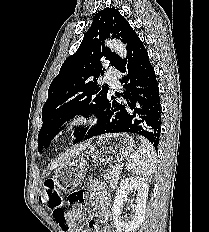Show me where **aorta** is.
Masks as SVG:
<instances>
[{
  "label": "aorta",
  "instance_id": "aorta-1",
  "mask_svg": "<svg viewBox=\"0 0 209 232\" xmlns=\"http://www.w3.org/2000/svg\"><path fill=\"white\" fill-rule=\"evenodd\" d=\"M105 45L109 47L113 52L117 53L121 58H126V46L117 39H108Z\"/></svg>",
  "mask_w": 209,
  "mask_h": 232
}]
</instances>
